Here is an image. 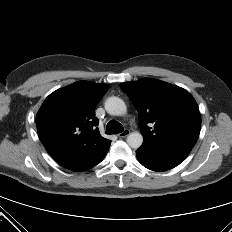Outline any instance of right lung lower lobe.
<instances>
[{
  "label": "right lung lower lobe",
  "mask_w": 232,
  "mask_h": 232,
  "mask_svg": "<svg viewBox=\"0 0 232 232\" xmlns=\"http://www.w3.org/2000/svg\"><path fill=\"white\" fill-rule=\"evenodd\" d=\"M104 157L105 156L94 159V160L73 163V164L65 166V168L73 170V171H85L97 165L98 163H100Z\"/></svg>",
  "instance_id": "obj_1"
}]
</instances>
